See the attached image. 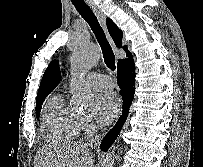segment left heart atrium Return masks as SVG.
I'll return each instance as SVG.
<instances>
[{"label":"left heart atrium","mask_w":203,"mask_h":167,"mask_svg":"<svg viewBox=\"0 0 203 167\" xmlns=\"http://www.w3.org/2000/svg\"><path fill=\"white\" fill-rule=\"evenodd\" d=\"M121 108L119 97L111 92H106L99 95L96 99V111L98 120L102 124L112 122Z\"/></svg>","instance_id":"39dd6f15"}]
</instances>
